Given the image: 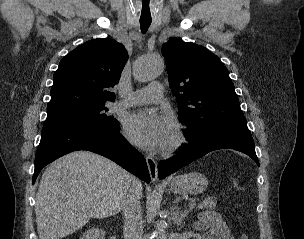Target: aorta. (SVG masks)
Segmentation results:
<instances>
[{
  "label": "aorta",
  "mask_w": 304,
  "mask_h": 239,
  "mask_svg": "<svg viewBox=\"0 0 304 239\" xmlns=\"http://www.w3.org/2000/svg\"><path fill=\"white\" fill-rule=\"evenodd\" d=\"M163 68L164 62L160 56L143 57L135 64L134 76L141 82L150 81L157 78ZM153 235L155 239H167L164 220L157 221Z\"/></svg>",
  "instance_id": "obj_1"
}]
</instances>
